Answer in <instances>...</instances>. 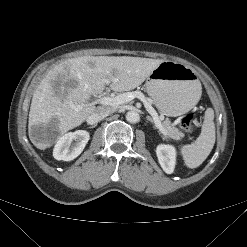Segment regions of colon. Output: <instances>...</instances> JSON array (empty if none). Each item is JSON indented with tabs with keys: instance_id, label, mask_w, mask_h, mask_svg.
<instances>
[{
	"instance_id": "5ec220e1",
	"label": "colon",
	"mask_w": 247,
	"mask_h": 247,
	"mask_svg": "<svg viewBox=\"0 0 247 247\" xmlns=\"http://www.w3.org/2000/svg\"><path fill=\"white\" fill-rule=\"evenodd\" d=\"M179 125L185 130H193L196 125V112L190 111L179 119Z\"/></svg>"
}]
</instances>
